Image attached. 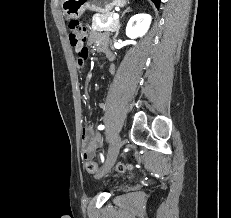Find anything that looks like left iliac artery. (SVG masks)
Returning a JSON list of instances; mask_svg holds the SVG:
<instances>
[{"label": "left iliac artery", "instance_id": "left-iliac-artery-1", "mask_svg": "<svg viewBox=\"0 0 231 218\" xmlns=\"http://www.w3.org/2000/svg\"><path fill=\"white\" fill-rule=\"evenodd\" d=\"M104 128H105L104 125H99V126H98V129H99V130H103ZM101 160H102V162L104 161V157H103L102 154H101Z\"/></svg>", "mask_w": 231, "mask_h": 218}]
</instances>
